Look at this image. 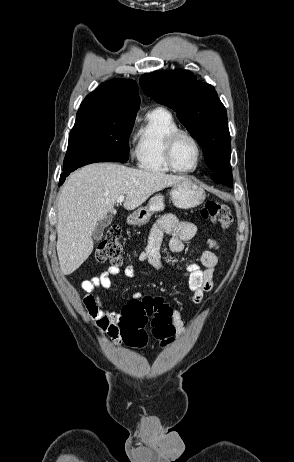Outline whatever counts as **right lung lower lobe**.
<instances>
[{"instance_id":"98d812e1","label":"right lung lower lobe","mask_w":294,"mask_h":462,"mask_svg":"<svg viewBox=\"0 0 294 462\" xmlns=\"http://www.w3.org/2000/svg\"><path fill=\"white\" fill-rule=\"evenodd\" d=\"M72 171H68V172H63L60 176V181H59V185H62L63 182L65 181L66 177L71 173Z\"/></svg>"}]
</instances>
